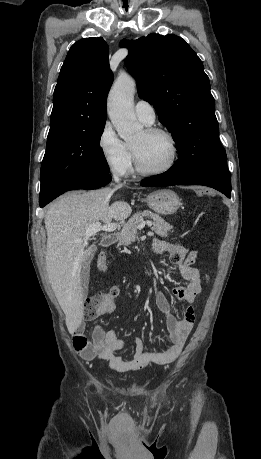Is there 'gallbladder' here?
<instances>
[{"label":"gallbladder","instance_id":"obj_1","mask_svg":"<svg viewBox=\"0 0 261 459\" xmlns=\"http://www.w3.org/2000/svg\"><path fill=\"white\" fill-rule=\"evenodd\" d=\"M92 258H93V253L91 252L89 254V256L86 258V260H85V262L83 264L81 273H80L81 284H82L83 294L84 295H86L87 291H88L89 272H90L89 264H90V261H91Z\"/></svg>","mask_w":261,"mask_h":459}]
</instances>
